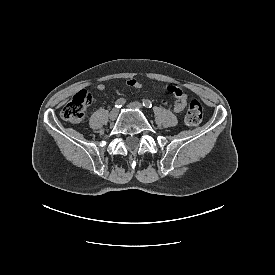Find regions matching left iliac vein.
<instances>
[{"mask_svg":"<svg viewBox=\"0 0 275 275\" xmlns=\"http://www.w3.org/2000/svg\"><path fill=\"white\" fill-rule=\"evenodd\" d=\"M128 107L132 108V109H139V110H141L142 109V104L139 103V102H132V103L128 104Z\"/></svg>","mask_w":275,"mask_h":275,"instance_id":"4c4485c4","label":"left iliac vein"}]
</instances>
